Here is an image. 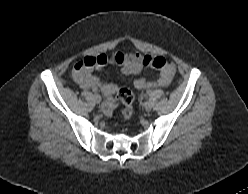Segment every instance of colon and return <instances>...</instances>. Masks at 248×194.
Returning <instances> with one entry per match:
<instances>
[{
	"mask_svg": "<svg viewBox=\"0 0 248 194\" xmlns=\"http://www.w3.org/2000/svg\"><path fill=\"white\" fill-rule=\"evenodd\" d=\"M145 65L152 66L157 69L171 68L173 71L176 69V65L173 62L168 61L164 57H159V56H155V57L147 56L145 59ZM78 66L80 68L96 67L97 64L94 60H92L87 63L79 62ZM117 99L123 104L122 119L124 121H129L133 117V114H134L133 93L127 88L119 87L117 89Z\"/></svg>",
	"mask_w": 248,
	"mask_h": 194,
	"instance_id": "obj_1",
	"label": "colon"
}]
</instances>
